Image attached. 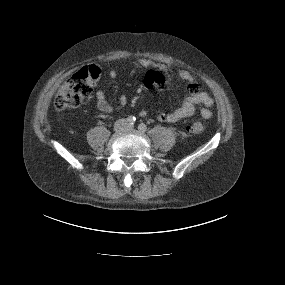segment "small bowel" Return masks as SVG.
<instances>
[{
	"instance_id": "c3829d8e",
	"label": "small bowel",
	"mask_w": 285,
	"mask_h": 285,
	"mask_svg": "<svg viewBox=\"0 0 285 285\" xmlns=\"http://www.w3.org/2000/svg\"><path fill=\"white\" fill-rule=\"evenodd\" d=\"M137 65L149 69L144 78V85L148 90L155 87H163L164 74L172 71L168 66L156 64L149 59H140L137 61ZM176 72L178 76L186 82L189 95L183 100L179 108L171 112H161L158 115V120L161 122H178L190 118L195 114L197 106H200L199 115L201 118L209 119L212 115L210 108L214 103L212 97L206 91L200 90L195 77L189 71L177 70ZM109 76L112 79L116 78V71L111 70ZM125 102V98L121 97L118 105H112L107 101L102 91L98 90L95 94L97 108L105 113L117 111L120 107L124 106ZM142 115H144V113H142Z\"/></svg>"
}]
</instances>
